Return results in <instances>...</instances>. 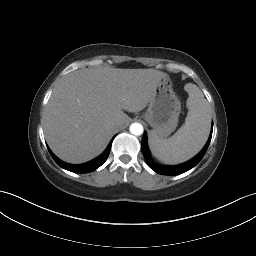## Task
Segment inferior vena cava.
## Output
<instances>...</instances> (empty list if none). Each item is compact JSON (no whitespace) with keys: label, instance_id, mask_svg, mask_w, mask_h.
<instances>
[{"label":"inferior vena cava","instance_id":"1","mask_svg":"<svg viewBox=\"0 0 256 256\" xmlns=\"http://www.w3.org/2000/svg\"><path fill=\"white\" fill-rule=\"evenodd\" d=\"M111 126H112L113 128H118V127L120 126V121H119L118 119H113V120L111 121Z\"/></svg>","mask_w":256,"mask_h":256}]
</instances>
